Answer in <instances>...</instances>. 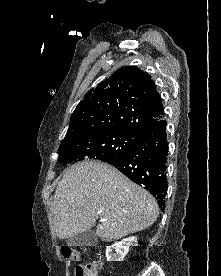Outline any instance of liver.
<instances>
[{"label":"liver","mask_w":221,"mask_h":276,"mask_svg":"<svg viewBox=\"0 0 221 276\" xmlns=\"http://www.w3.org/2000/svg\"><path fill=\"white\" fill-rule=\"evenodd\" d=\"M53 214L60 239L90 230L99 217L96 236L111 241L150 227L159 207L148 191L114 167L83 161L64 172L54 194Z\"/></svg>","instance_id":"liver-1"}]
</instances>
